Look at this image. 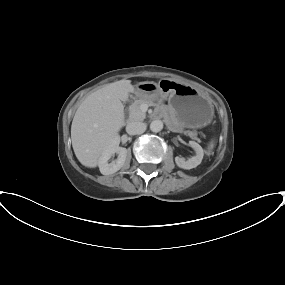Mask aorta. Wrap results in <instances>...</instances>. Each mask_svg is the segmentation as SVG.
<instances>
[{"label": "aorta", "instance_id": "obj_1", "mask_svg": "<svg viewBox=\"0 0 285 285\" xmlns=\"http://www.w3.org/2000/svg\"><path fill=\"white\" fill-rule=\"evenodd\" d=\"M163 129V122L161 120H154L150 124V130L152 132H160Z\"/></svg>", "mask_w": 285, "mask_h": 285}]
</instances>
